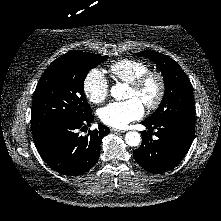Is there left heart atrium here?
I'll use <instances>...</instances> for the list:
<instances>
[{
  "instance_id": "obj_1",
  "label": "left heart atrium",
  "mask_w": 221,
  "mask_h": 221,
  "mask_svg": "<svg viewBox=\"0 0 221 221\" xmlns=\"http://www.w3.org/2000/svg\"><path fill=\"white\" fill-rule=\"evenodd\" d=\"M143 104L137 98L112 102L99 110L100 120L110 127L124 128L143 116Z\"/></svg>"
}]
</instances>
